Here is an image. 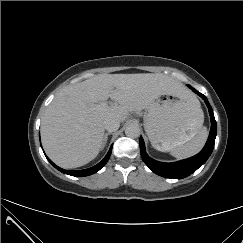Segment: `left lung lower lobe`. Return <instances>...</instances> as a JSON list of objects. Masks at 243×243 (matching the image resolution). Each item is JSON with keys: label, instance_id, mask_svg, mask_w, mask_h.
<instances>
[{"label": "left lung lower lobe", "instance_id": "obj_1", "mask_svg": "<svg viewBox=\"0 0 243 243\" xmlns=\"http://www.w3.org/2000/svg\"><path fill=\"white\" fill-rule=\"evenodd\" d=\"M188 87L192 89V91H194L200 97H202V99L204 100V102L208 107L210 118H211L210 134L206 142V145L204 146V148L199 154L189 159L182 160L176 163H162L151 159L146 154L144 141L142 137H140L139 144H140L141 157L143 161L154 173L162 177L182 179L189 176L206 162V160L209 158L214 148L215 138H216V121L214 118L213 110L207 98L203 94H201L191 86Z\"/></svg>", "mask_w": 243, "mask_h": 243}]
</instances>
